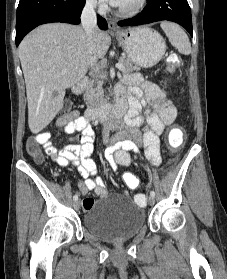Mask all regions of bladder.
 <instances>
[{
	"mask_svg": "<svg viewBox=\"0 0 227 279\" xmlns=\"http://www.w3.org/2000/svg\"><path fill=\"white\" fill-rule=\"evenodd\" d=\"M145 224V212L126 196L95 202L84 216L86 231L104 241H119L136 235Z\"/></svg>",
	"mask_w": 227,
	"mask_h": 279,
	"instance_id": "obj_1",
	"label": "bladder"
}]
</instances>
